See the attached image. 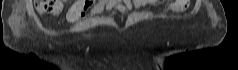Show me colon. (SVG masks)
<instances>
[{
    "label": "colon",
    "mask_w": 238,
    "mask_h": 70,
    "mask_svg": "<svg viewBox=\"0 0 238 70\" xmlns=\"http://www.w3.org/2000/svg\"><path fill=\"white\" fill-rule=\"evenodd\" d=\"M181 7L178 10L187 8L188 0H177ZM176 2V1H175ZM63 8L62 0H36V9L39 13L58 14Z\"/></svg>",
    "instance_id": "5ec220e1"
}]
</instances>
